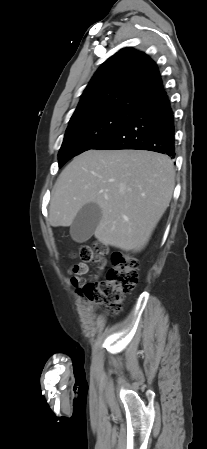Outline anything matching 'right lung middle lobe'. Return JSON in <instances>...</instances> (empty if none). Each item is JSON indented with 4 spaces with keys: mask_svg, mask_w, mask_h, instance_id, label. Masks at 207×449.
I'll return each mask as SVG.
<instances>
[{
    "mask_svg": "<svg viewBox=\"0 0 207 449\" xmlns=\"http://www.w3.org/2000/svg\"><path fill=\"white\" fill-rule=\"evenodd\" d=\"M134 112L128 109H111L71 118L58 155L59 167L114 133Z\"/></svg>",
    "mask_w": 207,
    "mask_h": 449,
    "instance_id": "right-lung-middle-lobe-1",
    "label": "right lung middle lobe"
}]
</instances>
